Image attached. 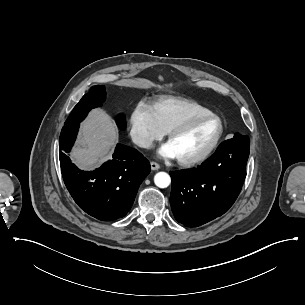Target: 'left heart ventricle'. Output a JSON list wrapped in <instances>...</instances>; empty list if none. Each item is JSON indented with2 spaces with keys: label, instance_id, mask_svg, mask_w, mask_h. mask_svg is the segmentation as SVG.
Returning a JSON list of instances; mask_svg holds the SVG:
<instances>
[{
  "label": "left heart ventricle",
  "instance_id": "obj_1",
  "mask_svg": "<svg viewBox=\"0 0 305 305\" xmlns=\"http://www.w3.org/2000/svg\"><path fill=\"white\" fill-rule=\"evenodd\" d=\"M220 129V121L216 118H211L191 125L184 132L177 135L170 144L177 157H193L213 144L219 135Z\"/></svg>",
  "mask_w": 305,
  "mask_h": 305
}]
</instances>
